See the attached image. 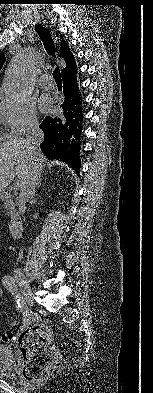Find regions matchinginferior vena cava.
<instances>
[{"instance_id":"1","label":"inferior vena cava","mask_w":153,"mask_h":393,"mask_svg":"<svg viewBox=\"0 0 153 393\" xmlns=\"http://www.w3.org/2000/svg\"><path fill=\"white\" fill-rule=\"evenodd\" d=\"M44 139V133L39 128V124L37 122L33 123L27 131L26 142L31 151L35 154L40 152L39 144ZM39 160H42V157H39ZM39 160H36V163L33 167L31 174L25 179V181L21 185V190L19 194V211L25 212V204L28 200H30L34 194L38 182L40 180V172L42 169V163H39ZM15 273L21 274L20 269H16Z\"/></svg>"}]
</instances>
